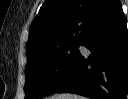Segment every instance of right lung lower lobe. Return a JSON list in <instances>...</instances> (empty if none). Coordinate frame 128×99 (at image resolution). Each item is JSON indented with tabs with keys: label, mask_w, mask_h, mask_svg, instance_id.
<instances>
[{
	"label": "right lung lower lobe",
	"mask_w": 128,
	"mask_h": 99,
	"mask_svg": "<svg viewBox=\"0 0 128 99\" xmlns=\"http://www.w3.org/2000/svg\"><path fill=\"white\" fill-rule=\"evenodd\" d=\"M82 45L92 53L81 55L74 70L52 91L92 99H126L128 93V32L122 6L94 30Z\"/></svg>",
	"instance_id": "right-lung-lower-lobe-1"
}]
</instances>
